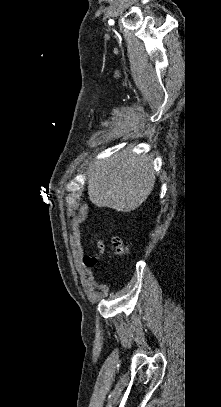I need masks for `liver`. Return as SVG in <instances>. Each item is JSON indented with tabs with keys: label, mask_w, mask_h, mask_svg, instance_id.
Instances as JSON below:
<instances>
[{
	"label": "liver",
	"mask_w": 221,
	"mask_h": 407,
	"mask_svg": "<svg viewBox=\"0 0 221 407\" xmlns=\"http://www.w3.org/2000/svg\"><path fill=\"white\" fill-rule=\"evenodd\" d=\"M87 190L90 201L118 212L138 208L154 188L152 160L145 154L123 150L106 159L91 163Z\"/></svg>",
	"instance_id": "liver-1"
}]
</instances>
